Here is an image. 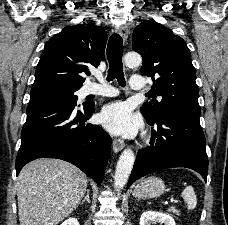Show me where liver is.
I'll use <instances>...</instances> for the list:
<instances>
[{"label": "liver", "mask_w": 228, "mask_h": 225, "mask_svg": "<svg viewBox=\"0 0 228 225\" xmlns=\"http://www.w3.org/2000/svg\"><path fill=\"white\" fill-rule=\"evenodd\" d=\"M20 225H58L77 209L87 191V177L59 159H36L17 177Z\"/></svg>", "instance_id": "obj_1"}]
</instances>
